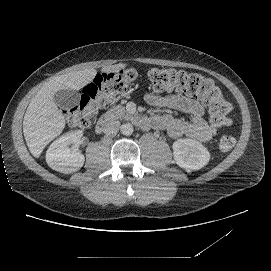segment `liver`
<instances>
[{
	"mask_svg": "<svg viewBox=\"0 0 271 271\" xmlns=\"http://www.w3.org/2000/svg\"><path fill=\"white\" fill-rule=\"evenodd\" d=\"M120 65L103 68L104 72L117 71ZM96 70L86 68L51 78L37 92L28 105L23 119V134L30 153L39 157L45 146L58 136L64 127V117L52 101L59 90H79L91 82Z\"/></svg>",
	"mask_w": 271,
	"mask_h": 271,
	"instance_id": "liver-1",
	"label": "liver"
}]
</instances>
